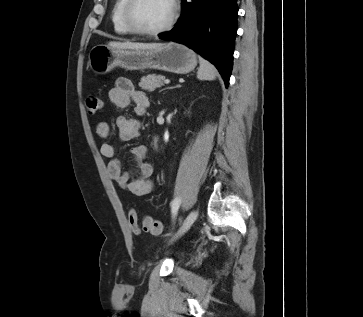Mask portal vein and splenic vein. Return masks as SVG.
Masks as SVG:
<instances>
[{"label": "portal vein and splenic vein", "mask_w": 363, "mask_h": 317, "mask_svg": "<svg viewBox=\"0 0 363 317\" xmlns=\"http://www.w3.org/2000/svg\"><path fill=\"white\" fill-rule=\"evenodd\" d=\"M164 83L165 84H169L170 83V80L169 79H166V80H164Z\"/></svg>", "instance_id": "portal-vein-and-splenic-vein-1"}]
</instances>
